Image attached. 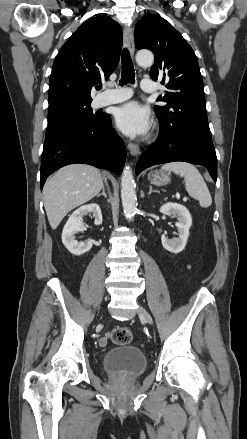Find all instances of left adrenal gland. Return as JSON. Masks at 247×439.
<instances>
[{
	"label": "left adrenal gland",
	"mask_w": 247,
	"mask_h": 439,
	"mask_svg": "<svg viewBox=\"0 0 247 439\" xmlns=\"http://www.w3.org/2000/svg\"><path fill=\"white\" fill-rule=\"evenodd\" d=\"M152 192L160 193L158 190H153V189H152V186L150 185V189H149L148 194L150 195Z\"/></svg>",
	"instance_id": "obj_1"
}]
</instances>
